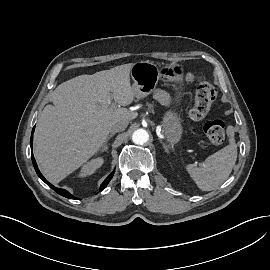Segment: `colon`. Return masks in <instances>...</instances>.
<instances>
[{
    "mask_svg": "<svg viewBox=\"0 0 270 270\" xmlns=\"http://www.w3.org/2000/svg\"><path fill=\"white\" fill-rule=\"evenodd\" d=\"M187 81L197 83L195 101L189 112L193 121L202 120L209 112L217 96L215 87L195 74H188ZM204 132L213 144H221L225 137V126L221 120H209L204 124Z\"/></svg>",
    "mask_w": 270,
    "mask_h": 270,
    "instance_id": "1",
    "label": "colon"
}]
</instances>
